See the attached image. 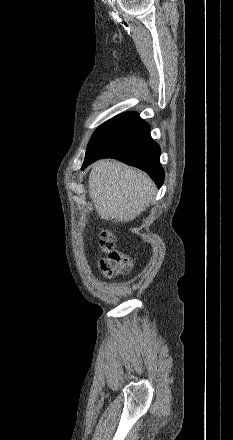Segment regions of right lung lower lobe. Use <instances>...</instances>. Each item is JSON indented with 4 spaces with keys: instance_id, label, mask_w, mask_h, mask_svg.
I'll return each instance as SVG.
<instances>
[{
    "instance_id": "obj_1",
    "label": "right lung lower lobe",
    "mask_w": 233,
    "mask_h": 440,
    "mask_svg": "<svg viewBox=\"0 0 233 440\" xmlns=\"http://www.w3.org/2000/svg\"><path fill=\"white\" fill-rule=\"evenodd\" d=\"M100 158H115L147 172L161 187L164 170L160 147L150 136L149 125L136 112H126L101 125L92 135L82 169Z\"/></svg>"
}]
</instances>
